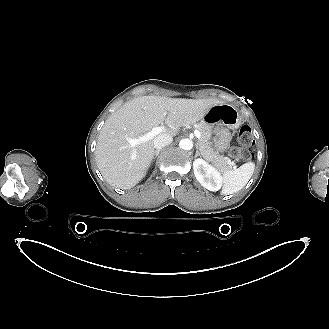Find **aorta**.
<instances>
[{"label":"aorta","instance_id":"762f6f07","mask_svg":"<svg viewBox=\"0 0 329 329\" xmlns=\"http://www.w3.org/2000/svg\"><path fill=\"white\" fill-rule=\"evenodd\" d=\"M179 147L183 150H191L193 147V142L191 139L184 138L179 142Z\"/></svg>","mask_w":329,"mask_h":329}]
</instances>
